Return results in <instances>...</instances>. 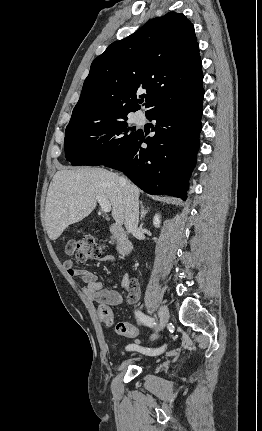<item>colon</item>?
<instances>
[{"mask_svg":"<svg viewBox=\"0 0 262 431\" xmlns=\"http://www.w3.org/2000/svg\"><path fill=\"white\" fill-rule=\"evenodd\" d=\"M103 251V246L92 237H83L80 239H71L65 246L67 255H74L79 262H89L98 258ZM103 322L113 323V319L105 314L100 315ZM116 332L127 337H135L137 331L134 327L125 323L116 325Z\"/></svg>","mask_w":262,"mask_h":431,"instance_id":"1","label":"colon"}]
</instances>
